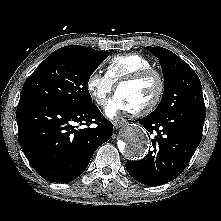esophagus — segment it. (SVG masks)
<instances>
[{
  "instance_id": "34e87169",
  "label": "esophagus",
  "mask_w": 221,
  "mask_h": 221,
  "mask_svg": "<svg viewBox=\"0 0 221 221\" xmlns=\"http://www.w3.org/2000/svg\"><path fill=\"white\" fill-rule=\"evenodd\" d=\"M113 125H114L115 129H118V128H120L123 125V121H121V120H114L113 121Z\"/></svg>"
}]
</instances>
